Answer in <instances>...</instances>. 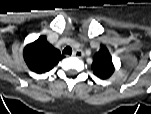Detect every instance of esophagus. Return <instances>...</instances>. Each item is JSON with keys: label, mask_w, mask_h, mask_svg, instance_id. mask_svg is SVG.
I'll return each mask as SVG.
<instances>
[{"label": "esophagus", "mask_w": 151, "mask_h": 114, "mask_svg": "<svg viewBox=\"0 0 151 114\" xmlns=\"http://www.w3.org/2000/svg\"><path fill=\"white\" fill-rule=\"evenodd\" d=\"M74 57L82 58L84 56V52L80 49H77L72 54Z\"/></svg>", "instance_id": "1"}]
</instances>
